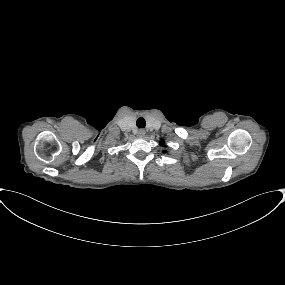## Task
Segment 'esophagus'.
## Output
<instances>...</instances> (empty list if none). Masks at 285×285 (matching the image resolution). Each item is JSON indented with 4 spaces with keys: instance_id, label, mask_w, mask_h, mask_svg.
<instances>
[{
    "instance_id": "34e87169",
    "label": "esophagus",
    "mask_w": 285,
    "mask_h": 285,
    "mask_svg": "<svg viewBox=\"0 0 285 285\" xmlns=\"http://www.w3.org/2000/svg\"><path fill=\"white\" fill-rule=\"evenodd\" d=\"M145 133H146V132H145L144 129H139V130H138V136H139V137H144V136H145Z\"/></svg>"
}]
</instances>
